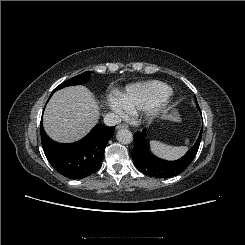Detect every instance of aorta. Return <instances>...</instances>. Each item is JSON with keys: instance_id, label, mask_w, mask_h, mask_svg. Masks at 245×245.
<instances>
[{"instance_id": "aorta-1", "label": "aorta", "mask_w": 245, "mask_h": 245, "mask_svg": "<svg viewBox=\"0 0 245 245\" xmlns=\"http://www.w3.org/2000/svg\"><path fill=\"white\" fill-rule=\"evenodd\" d=\"M116 138L122 144H130L133 140V135L128 129H120L116 134Z\"/></svg>"}]
</instances>
